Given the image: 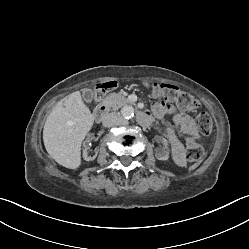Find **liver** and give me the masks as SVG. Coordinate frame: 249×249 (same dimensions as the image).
I'll list each match as a JSON object with an SVG mask.
<instances>
[{
    "label": "liver",
    "instance_id": "liver-1",
    "mask_svg": "<svg viewBox=\"0 0 249 249\" xmlns=\"http://www.w3.org/2000/svg\"><path fill=\"white\" fill-rule=\"evenodd\" d=\"M94 124V117L79 91L62 99L49 114L43 141L49 155L60 165L77 169L81 165V145Z\"/></svg>",
    "mask_w": 249,
    "mask_h": 249
}]
</instances>
